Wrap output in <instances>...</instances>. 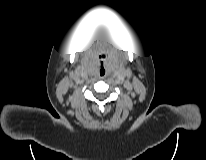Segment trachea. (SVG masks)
<instances>
[{"label": "trachea", "mask_w": 206, "mask_h": 160, "mask_svg": "<svg viewBox=\"0 0 206 160\" xmlns=\"http://www.w3.org/2000/svg\"><path fill=\"white\" fill-rule=\"evenodd\" d=\"M104 73H105L104 69L100 71L101 75H104Z\"/></svg>", "instance_id": "3493384b"}]
</instances>
